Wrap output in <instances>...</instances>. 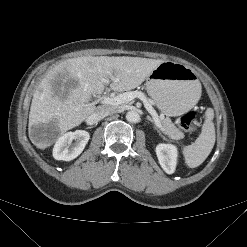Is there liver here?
Returning <instances> with one entry per match:
<instances>
[{
    "label": "liver",
    "instance_id": "1",
    "mask_svg": "<svg viewBox=\"0 0 247 247\" xmlns=\"http://www.w3.org/2000/svg\"><path fill=\"white\" fill-rule=\"evenodd\" d=\"M162 60L141 57L83 56L68 59L48 71L33 94L29 112V135L32 143L45 149L50 143L37 142L31 136V128L55 121L57 131L63 134L79 126L97 107L89 102L91 95L101 94L110 83V89L123 92L135 89ZM58 74L77 82L73 88L63 85L62 94L56 95L52 81Z\"/></svg>",
    "mask_w": 247,
    "mask_h": 247
}]
</instances>
